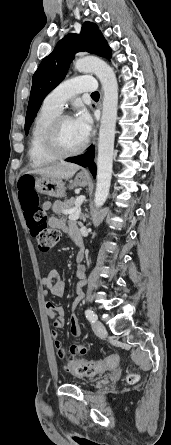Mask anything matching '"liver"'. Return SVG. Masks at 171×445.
Instances as JSON below:
<instances>
[{
	"label": "liver",
	"mask_w": 171,
	"mask_h": 445,
	"mask_svg": "<svg viewBox=\"0 0 171 445\" xmlns=\"http://www.w3.org/2000/svg\"><path fill=\"white\" fill-rule=\"evenodd\" d=\"M79 166L72 163H60L44 168H38L27 172V174H37L55 179L71 178L78 170Z\"/></svg>",
	"instance_id": "1"
}]
</instances>
